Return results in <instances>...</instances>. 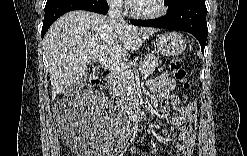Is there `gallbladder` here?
Listing matches in <instances>:
<instances>
[{"label":"gallbladder","instance_id":"gallbladder-1","mask_svg":"<svg viewBox=\"0 0 247 156\" xmlns=\"http://www.w3.org/2000/svg\"><path fill=\"white\" fill-rule=\"evenodd\" d=\"M96 72L97 71L95 69H93L92 74H95ZM87 80H88V77L82 78L79 82H77V83L71 85L69 88H67L64 93L67 94V93L75 91L77 89V86L85 83Z\"/></svg>","mask_w":247,"mask_h":156}]
</instances>
